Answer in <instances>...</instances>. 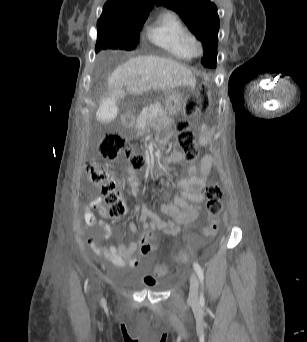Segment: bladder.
<instances>
[{
	"mask_svg": "<svg viewBox=\"0 0 307 342\" xmlns=\"http://www.w3.org/2000/svg\"><path fill=\"white\" fill-rule=\"evenodd\" d=\"M145 286L149 289H157L159 288V283L157 281L153 282V283H145Z\"/></svg>",
	"mask_w": 307,
	"mask_h": 342,
	"instance_id": "31cf9c89",
	"label": "bladder"
}]
</instances>
